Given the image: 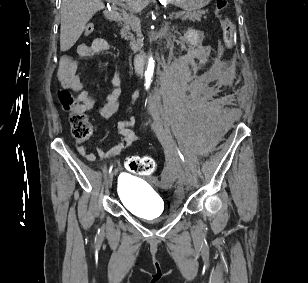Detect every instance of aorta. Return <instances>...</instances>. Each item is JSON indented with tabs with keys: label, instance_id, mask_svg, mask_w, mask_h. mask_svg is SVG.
Segmentation results:
<instances>
[{
	"label": "aorta",
	"instance_id": "1",
	"mask_svg": "<svg viewBox=\"0 0 308 283\" xmlns=\"http://www.w3.org/2000/svg\"><path fill=\"white\" fill-rule=\"evenodd\" d=\"M154 61L152 58L149 59L148 61V66H147V70L145 72V79H146V84L149 85L151 83L152 77H153V73H154Z\"/></svg>",
	"mask_w": 308,
	"mask_h": 283
}]
</instances>
